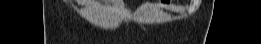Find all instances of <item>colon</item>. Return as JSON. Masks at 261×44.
Returning <instances> with one entry per match:
<instances>
[{"label": "colon", "instance_id": "5ec220e1", "mask_svg": "<svg viewBox=\"0 0 261 44\" xmlns=\"http://www.w3.org/2000/svg\"><path fill=\"white\" fill-rule=\"evenodd\" d=\"M164 5H167V2H164Z\"/></svg>", "mask_w": 261, "mask_h": 44}]
</instances>
